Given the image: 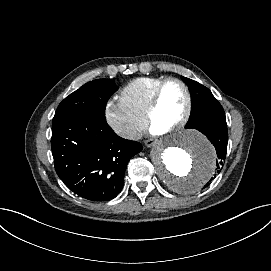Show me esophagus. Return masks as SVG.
I'll return each instance as SVG.
<instances>
[{"label":"esophagus","instance_id":"1","mask_svg":"<svg viewBox=\"0 0 271 271\" xmlns=\"http://www.w3.org/2000/svg\"><path fill=\"white\" fill-rule=\"evenodd\" d=\"M156 143V139L155 138H150L144 141V144L146 147H151L152 145H154Z\"/></svg>","mask_w":271,"mask_h":271}]
</instances>
